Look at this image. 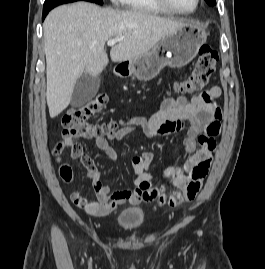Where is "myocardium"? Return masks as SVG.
Returning <instances> with one entry per match:
<instances>
[{"instance_id": "f54148a6", "label": "myocardium", "mask_w": 265, "mask_h": 269, "mask_svg": "<svg viewBox=\"0 0 265 269\" xmlns=\"http://www.w3.org/2000/svg\"><path fill=\"white\" fill-rule=\"evenodd\" d=\"M163 9H165L168 12H172V13H176V14H192L194 13L200 3V0H195V5L193 7V9L191 10H181L178 8H175L174 6L171 5V3L168 0H155Z\"/></svg>"}]
</instances>
